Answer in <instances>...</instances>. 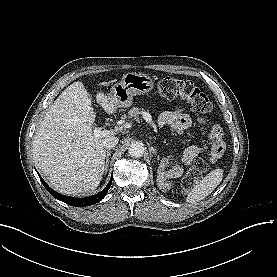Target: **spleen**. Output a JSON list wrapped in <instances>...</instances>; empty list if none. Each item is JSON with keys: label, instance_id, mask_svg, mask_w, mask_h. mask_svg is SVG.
<instances>
[{"label": "spleen", "instance_id": "1", "mask_svg": "<svg viewBox=\"0 0 277 277\" xmlns=\"http://www.w3.org/2000/svg\"><path fill=\"white\" fill-rule=\"evenodd\" d=\"M223 179V170L216 168L206 175L192 190L188 193L186 202L195 203L203 200L211 194Z\"/></svg>", "mask_w": 277, "mask_h": 277}]
</instances>
